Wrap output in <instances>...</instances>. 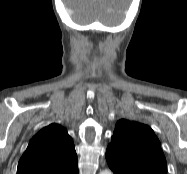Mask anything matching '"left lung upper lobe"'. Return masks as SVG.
<instances>
[{
  "label": "left lung upper lobe",
  "mask_w": 187,
  "mask_h": 174,
  "mask_svg": "<svg viewBox=\"0 0 187 174\" xmlns=\"http://www.w3.org/2000/svg\"><path fill=\"white\" fill-rule=\"evenodd\" d=\"M106 159L114 174H167L158 138L149 126L137 122H117Z\"/></svg>",
  "instance_id": "5c2ea615"
}]
</instances>
